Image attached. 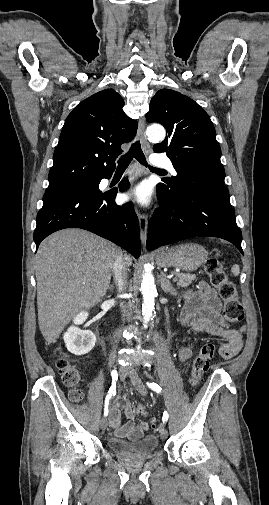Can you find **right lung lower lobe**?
<instances>
[{"instance_id": "98d812e1", "label": "right lung lower lobe", "mask_w": 269, "mask_h": 505, "mask_svg": "<svg viewBox=\"0 0 269 505\" xmlns=\"http://www.w3.org/2000/svg\"><path fill=\"white\" fill-rule=\"evenodd\" d=\"M111 175L95 180L99 183L102 178H110ZM128 186V181L123 180L120 191ZM115 197L116 192L102 193L87 188L46 191L33 236L36 248L55 231L81 228L114 242L138 258L140 234L137 215L131 203L119 206Z\"/></svg>"}]
</instances>
